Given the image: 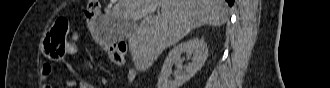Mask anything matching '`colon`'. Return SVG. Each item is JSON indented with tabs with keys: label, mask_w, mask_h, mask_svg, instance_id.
Masks as SVG:
<instances>
[{
	"label": "colon",
	"mask_w": 330,
	"mask_h": 88,
	"mask_svg": "<svg viewBox=\"0 0 330 88\" xmlns=\"http://www.w3.org/2000/svg\"><path fill=\"white\" fill-rule=\"evenodd\" d=\"M101 5L97 0L89 1L84 10V16L92 35L93 41L101 47L106 49L109 47V43L103 40L95 31V23L100 14ZM69 38V22L66 18H59L55 21L51 29L47 32L44 39V53L53 60L62 58L66 52V47ZM115 45V44H112ZM117 46V45H115ZM118 47V46H117ZM122 53V51H121ZM121 53L115 56H110L112 62L120 66L122 64Z\"/></svg>",
	"instance_id": "1"
}]
</instances>
